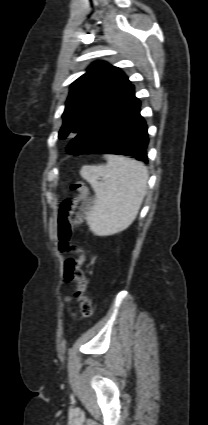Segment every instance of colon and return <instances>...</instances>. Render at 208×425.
I'll list each match as a JSON object with an SVG mask.
<instances>
[{
  "label": "colon",
  "instance_id": "obj_1",
  "mask_svg": "<svg viewBox=\"0 0 208 425\" xmlns=\"http://www.w3.org/2000/svg\"><path fill=\"white\" fill-rule=\"evenodd\" d=\"M71 189L77 194L65 199L58 215V246L62 252L72 253L74 258H68L63 263V277L68 282H74L76 291L74 298L84 318L92 315V302L88 295L89 282L84 273L83 266L87 257L84 250L72 242L74 231L80 226L83 211L87 202L88 190L82 180L72 183Z\"/></svg>",
  "mask_w": 208,
  "mask_h": 425
}]
</instances>
